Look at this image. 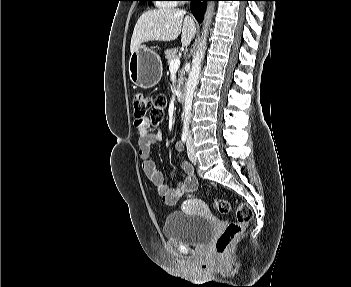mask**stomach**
<instances>
[{
    "label": "stomach",
    "instance_id": "obj_1",
    "mask_svg": "<svg viewBox=\"0 0 351 287\" xmlns=\"http://www.w3.org/2000/svg\"><path fill=\"white\" fill-rule=\"evenodd\" d=\"M162 72V61L155 51L140 46L137 51L131 53L129 75L135 85L143 89L152 88L160 81Z\"/></svg>",
    "mask_w": 351,
    "mask_h": 287
}]
</instances>
